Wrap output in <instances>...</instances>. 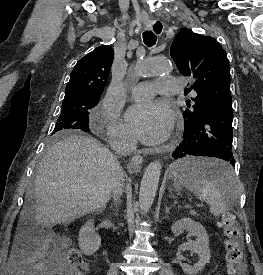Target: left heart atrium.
I'll use <instances>...</instances> for the list:
<instances>
[{
  "mask_svg": "<svg viewBox=\"0 0 263 275\" xmlns=\"http://www.w3.org/2000/svg\"><path fill=\"white\" fill-rule=\"evenodd\" d=\"M125 119L131 133L149 145L164 142L173 128L171 112L159 101L139 102L131 106Z\"/></svg>",
  "mask_w": 263,
  "mask_h": 275,
  "instance_id": "39dd6f15",
  "label": "left heart atrium"
}]
</instances>
